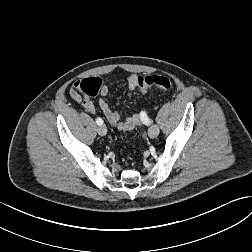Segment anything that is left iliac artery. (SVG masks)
Segmentation results:
<instances>
[{
  "mask_svg": "<svg viewBox=\"0 0 252 252\" xmlns=\"http://www.w3.org/2000/svg\"><path fill=\"white\" fill-rule=\"evenodd\" d=\"M140 122L143 125H150L152 121L148 118V114L145 112L140 113L139 115Z\"/></svg>",
  "mask_w": 252,
  "mask_h": 252,
  "instance_id": "44dca946",
  "label": "left iliac artery"
}]
</instances>
